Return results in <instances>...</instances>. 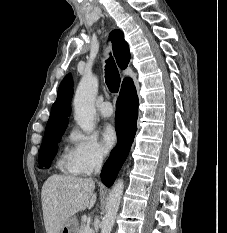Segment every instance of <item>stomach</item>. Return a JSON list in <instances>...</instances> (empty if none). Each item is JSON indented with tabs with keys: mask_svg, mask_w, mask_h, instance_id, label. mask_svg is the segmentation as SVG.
Segmentation results:
<instances>
[{
	"mask_svg": "<svg viewBox=\"0 0 227 233\" xmlns=\"http://www.w3.org/2000/svg\"><path fill=\"white\" fill-rule=\"evenodd\" d=\"M78 221L76 217H71L62 227L60 233H78Z\"/></svg>",
	"mask_w": 227,
	"mask_h": 233,
	"instance_id": "1",
	"label": "stomach"
}]
</instances>
